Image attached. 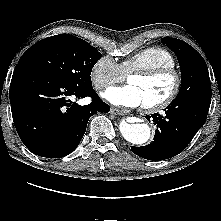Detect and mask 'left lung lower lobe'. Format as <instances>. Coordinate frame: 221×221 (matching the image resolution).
Instances as JSON below:
<instances>
[{
  "mask_svg": "<svg viewBox=\"0 0 221 221\" xmlns=\"http://www.w3.org/2000/svg\"><path fill=\"white\" fill-rule=\"evenodd\" d=\"M212 91L205 90L192 98L172 101L165 108L166 115H151L157 127L154 141L144 147L131 146L136 155L147 160H164L176 156L190 143L204 125L210 107ZM150 122V116H146Z\"/></svg>",
  "mask_w": 221,
  "mask_h": 221,
  "instance_id": "1",
  "label": "left lung lower lobe"
}]
</instances>
